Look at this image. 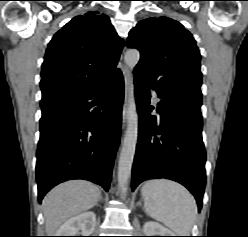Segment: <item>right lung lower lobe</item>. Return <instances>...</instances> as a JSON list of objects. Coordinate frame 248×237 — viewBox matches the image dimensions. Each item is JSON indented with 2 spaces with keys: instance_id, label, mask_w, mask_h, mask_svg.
Masks as SVG:
<instances>
[{
  "instance_id": "1",
  "label": "right lung lower lobe",
  "mask_w": 248,
  "mask_h": 237,
  "mask_svg": "<svg viewBox=\"0 0 248 237\" xmlns=\"http://www.w3.org/2000/svg\"><path fill=\"white\" fill-rule=\"evenodd\" d=\"M121 71L83 91L41 100L36 179L39 202L57 184L85 179L108 191L120 140Z\"/></svg>"
}]
</instances>
